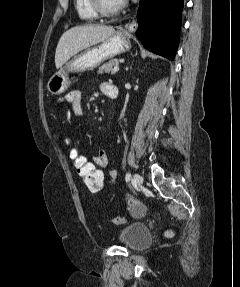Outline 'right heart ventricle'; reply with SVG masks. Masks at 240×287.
I'll use <instances>...</instances> for the list:
<instances>
[{
  "label": "right heart ventricle",
  "instance_id": "1",
  "mask_svg": "<svg viewBox=\"0 0 240 287\" xmlns=\"http://www.w3.org/2000/svg\"><path fill=\"white\" fill-rule=\"evenodd\" d=\"M75 9L80 19L82 20H95L98 14L92 6L91 0H75Z\"/></svg>",
  "mask_w": 240,
  "mask_h": 287
}]
</instances>
